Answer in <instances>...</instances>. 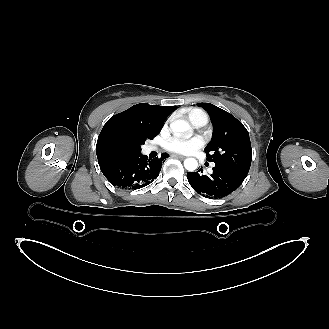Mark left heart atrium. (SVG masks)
<instances>
[{"label": "left heart atrium", "mask_w": 329, "mask_h": 329, "mask_svg": "<svg viewBox=\"0 0 329 329\" xmlns=\"http://www.w3.org/2000/svg\"><path fill=\"white\" fill-rule=\"evenodd\" d=\"M204 144L200 136L191 138L172 137L165 143L168 151L179 154H191L200 149Z\"/></svg>", "instance_id": "39dd6f15"}]
</instances>
